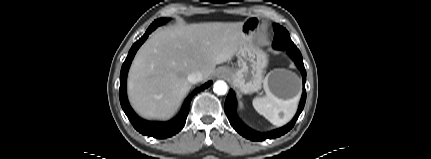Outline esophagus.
<instances>
[{
  "mask_svg": "<svg viewBox=\"0 0 431 159\" xmlns=\"http://www.w3.org/2000/svg\"><path fill=\"white\" fill-rule=\"evenodd\" d=\"M218 75H221L222 77H225L228 75V71L225 68H220L218 70Z\"/></svg>",
  "mask_w": 431,
  "mask_h": 159,
  "instance_id": "1",
  "label": "esophagus"
}]
</instances>
